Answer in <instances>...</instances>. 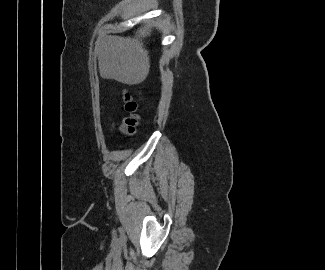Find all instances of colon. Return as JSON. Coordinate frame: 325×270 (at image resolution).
Returning a JSON list of instances; mask_svg holds the SVG:
<instances>
[{
    "instance_id": "colon-1",
    "label": "colon",
    "mask_w": 325,
    "mask_h": 270,
    "mask_svg": "<svg viewBox=\"0 0 325 270\" xmlns=\"http://www.w3.org/2000/svg\"><path fill=\"white\" fill-rule=\"evenodd\" d=\"M123 94L125 109L130 115L124 120L121 129L128 134H133L135 132L139 119V116L137 114L138 102L135 97L129 92L125 91Z\"/></svg>"
}]
</instances>
